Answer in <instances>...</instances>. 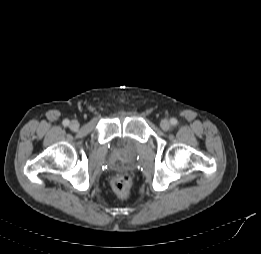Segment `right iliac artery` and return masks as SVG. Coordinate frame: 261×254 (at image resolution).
I'll use <instances>...</instances> for the list:
<instances>
[{
	"mask_svg": "<svg viewBox=\"0 0 261 254\" xmlns=\"http://www.w3.org/2000/svg\"><path fill=\"white\" fill-rule=\"evenodd\" d=\"M69 123H70V122H69V120H68V119H65V120L63 121V125H64V126H68V125H69Z\"/></svg>",
	"mask_w": 261,
	"mask_h": 254,
	"instance_id": "82829eb1",
	"label": "right iliac artery"
}]
</instances>
